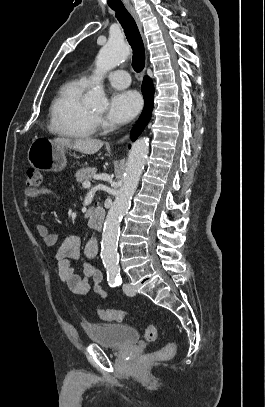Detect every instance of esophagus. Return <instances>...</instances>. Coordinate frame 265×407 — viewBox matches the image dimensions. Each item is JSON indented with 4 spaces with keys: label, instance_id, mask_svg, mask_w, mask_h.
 Wrapping results in <instances>:
<instances>
[{
    "label": "esophagus",
    "instance_id": "obj_1",
    "mask_svg": "<svg viewBox=\"0 0 265 407\" xmlns=\"http://www.w3.org/2000/svg\"><path fill=\"white\" fill-rule=\"evenodd\" d=\"M126 8H127L128 12H129V13L132 15V17L134 18V20H135V22H136V24H137V26H138V28H139L141 34H142L144 43L146 44V40H145L144 35H143L142 23H141V21H140V19H139V16H138L136 10H135L134 7L131 6V5L127 6ZM128 138H129V134H126L125 136H123V137L119 140L118 144L124 143Z\"/></svg>",
    "mask_w": 265,
    "mask_h": 407
}]
</instances>
